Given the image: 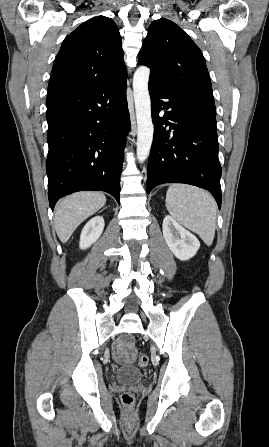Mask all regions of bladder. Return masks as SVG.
Here are the masks:
<instances>
[{"instance_id": "bladder-1", "label": "bladder", "mask_w": 269, "mask_h": 447, "mask_svg": "<svg viewBox=\"0 0 269 447\" xmlns=\"http://www.w3.org/2000/svg\"><path fill=\"white\" fill-rule=\"evenodd\" d=\"M143 372L134 366L121 365L115 374V379L123 382H139L143 379Z\"/></svg>"}]
</instances>
